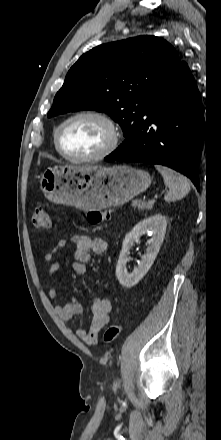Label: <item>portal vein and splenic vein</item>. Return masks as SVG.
Listing matches in <instances>:
<instances>
[{
    "label": "portal vein and splenic vein",
    "instance_id": "portal-vein-and-splenic-vein-1",
    "mask_svg": "<svg viewBox=\"0 0 221 440\" xmlns=\"http://www.w3.org/2000/svg\"><path fill=\"white\" fill-rule=\"evenodd\" d=\"M157 198V195L154 197V198H152L149 202H155V199Z\"/></svg>",
    "mask_w": 221,
    "mask_h": 440
}]
</instances>
